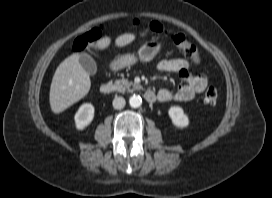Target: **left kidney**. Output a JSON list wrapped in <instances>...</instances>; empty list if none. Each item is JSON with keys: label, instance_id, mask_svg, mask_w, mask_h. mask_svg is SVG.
<instances>
[{"label": "left kidney", "instance_id": "5707ae66", "mask_svg": "<svg viewBox=\"0 0 272 198\" xmlns=\"http://www.w3.org/2000/svg\"><path fill=\"white\" fill-rule=\"evenodd\" d=\"M169 117L172 123L178 128H184L189 125L188 116L184 113V110L179 106H171L168 110Z\"/></svg>", "mask_w": 272, "mask_h": 198}]
</instances>
